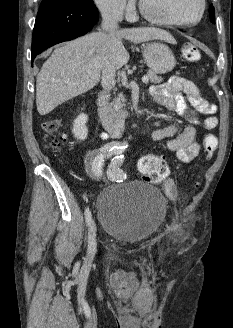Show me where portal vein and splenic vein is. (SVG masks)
Here are the masks:
<instances>
[{
  "mask_svg": "<svg viewBox=\"0 0 233 328\" xmlns=\"http://www.w3.org/2000/svg\"><path fill=\"white\" fill-rule=\"evenodd\" d=\"M142 82L147 83L148 82V77L147 76L142 77Z\"/></svg>",
  "mask_w": 233,
  "mask_h": 328,
  "instance_id": "1",
  "label": "portal vein and splenic vein"
}]
</instances>
